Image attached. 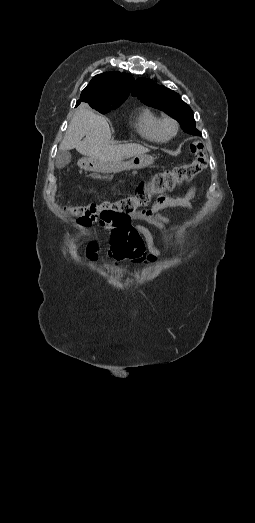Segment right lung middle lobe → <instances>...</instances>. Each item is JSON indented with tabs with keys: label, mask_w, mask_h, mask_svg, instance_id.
<instances>
[{
	"label": "right lung middle lobe",
	"mask_w": 255,
	"mask_h": 523,
	"mask_svg": "<svg viewBox=\"0 0 255 523\" xmlns=\"http://www.w3.org/2000/svg\"><path fill=\"white\" fill-rule=\"evenodd\" d=\"M121 103L123 102H116V103H100V104H94L90 105L93 109L99 111L102 114L108 113L109 111L118 108Z\"/></svg>",
	"instance_id": "dd1d6c3e"
}]
</instances>
